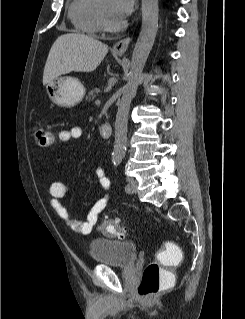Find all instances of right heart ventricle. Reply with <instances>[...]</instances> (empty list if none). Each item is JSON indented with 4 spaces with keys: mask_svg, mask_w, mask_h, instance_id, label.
I'll use <instances>...</instances> for the list:
<instances>
[{
    "mask_svg": "<svg viewBox=\"0 0 245 319\" xmlns=\"http://www.w3.org/2000/svg\"><path fill=\"white\" fill-rule=\"evenodd\" d=\"M100 0H71L68 14L75 28L89 35L102 31L99 17Z\"/></svg>",
    "mask_w": 245,
    "mask_h": 319,
    "instance_id": "obj_1",
    "label": "right heart ventricle"
}]
</instances>
